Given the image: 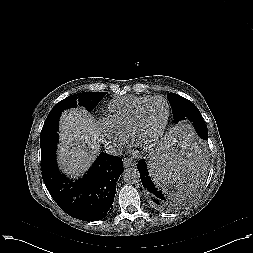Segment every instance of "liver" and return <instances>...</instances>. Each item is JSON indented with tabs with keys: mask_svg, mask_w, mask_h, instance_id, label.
<instances>
[{
	"mask_svg": "<svg viewBox=\"0 0 253 253\" xmlns=\"http://www.w3.org/2000/svg\"><path fill=\"white\" fill-rule=\"evenodd\" d=\"M59 129V165L64 172L78 177L100 150L96 123L84 109H70L62 114Z\"/></svg>",
	"mask_w": 253,
	"mask_h": 253,
	"instance_id": "6515ba94",
	"label": "liver"
}]
</instances>
